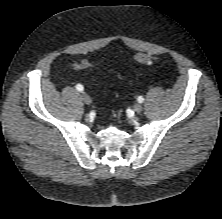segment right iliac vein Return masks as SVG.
I'll return each instance as SVG.
<instances>
[{
	"label": "right iliac vein",
	"mask_w": 222,
	"mask_h": 219,
	"mask_svg": "<svg viewBox=\"0 0 222 219\" xmlns=\"http://www.w3.org/2000/svg\"><path fill=\"white\" fill-rule=\"evenodd\" d=\"M81 97L85 104L87 105L91 104V97L86 92H83L81 94Z\"/></svg>",
	"instance_id": "63e3f726"
}]
</instances>
